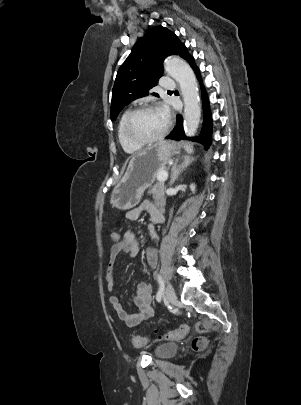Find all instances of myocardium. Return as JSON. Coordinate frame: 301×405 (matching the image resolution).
Masks as SVG:
<instances>
[{
	"label": "myocardium",
	"instance_id": "obj_1",
	"mask_svg": "<svg viewBox=\"0 0 301 405\" xmlns=\"http://www.w3.org/2000/svg\"><path fill=\"white\" fill-rule=\"evenodd\" d=\"M149 110H157L154 106L152 105H142L139 106L135 109H133L132 111H130L125 119L124 122V127H123V131H124V135L126 137V139L133 145L135 146H146V145H150L153 143H156L160 140H162L169 132L170 127H171V121L170 119L167 117L166 118V125L164 127V129L160 132V134H158L157 136L150 138V139H139L136 138L132 133H131V123L132 120L134 119V117L144 111H149Z\"/></svg>",
	"mask_w": 301,
	"mask_h": 405
}]
</instances>
